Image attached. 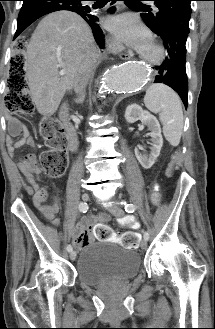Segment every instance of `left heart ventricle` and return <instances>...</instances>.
Segmentation results:
<instances>
[{
    "label": "left heart ventricle",
    "mask_w": 215,
    "mask_h": 329,
    "mask_svg": "<svg viewBox=\"0 0 215 329\" xmlns=\"http://www.w3.org/2000/svg\"><path fill=\"white\" fill-rule=\"evenodd\" d=\"M145 52H147V53H151L152 51H151L150 48H148Z\"/></svg>",
    "instance_id": "b2bd125f"
}]
</instances>
